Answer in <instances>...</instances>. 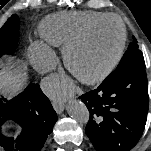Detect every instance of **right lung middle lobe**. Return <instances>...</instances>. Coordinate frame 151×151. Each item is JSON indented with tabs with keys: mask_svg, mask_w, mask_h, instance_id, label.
<instances>
[{
	"mask_svg": "<svg viewBox=\"0 0 151 151\" xmlns=\"http://www.w3.org/2000/svg\"><path fill=\"white\" fill-rule=\"evenodd\" d=\"M19 17L14 14L0 29V57L15 52L19 32Z\"/></svg>",
	"mask_w": 151,
	"mask_h": 151,
	"instance_id": "obj_1",
	"label": "right lung middle lobe"
}]
</instances>
